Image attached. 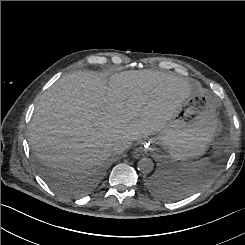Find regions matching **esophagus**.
I'll list each match as a JSON object with an SVG mask.
<instances>
[{
  "label": "esophagus",
  "mask_w": 245,
  "mask_h": 245,
  "mask_svg": "<svg viewBox=\"0 0 245 245\" xmlns=\"http://www.w3.org/2000/svg\"><path fill=\"white\" fill-rule=\"evenodd\" d=\"M150 150V144L148 142H144L141 146L137 149L138 153L148 152Z\"/></svg>",
  "instance_id": "34e87169"
}]
</instances>
